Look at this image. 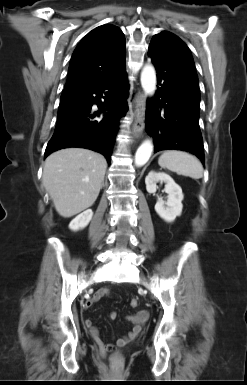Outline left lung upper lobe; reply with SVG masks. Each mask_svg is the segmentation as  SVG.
<instances>
[{
    "instance_id": "5c2ea615",
    "label": "left lung upper lobe",
    "mask_w": 247,
    "mask_h": 385,
    "mask_svg": "<svg viewBox=\"0 0 247 385\" xmlns=\"http://www.w3.org/2000/svg\"><path fill=\"white\" fill-rule=\"evenodd\" d=\"M162 33L169 36L171 44L174 46L175 51L180 54L183 58H185L186 62L195 69L193 58L187 45L182 42L179 37L170 32L164 31Z\"/></svg>"
}]
</instances>
